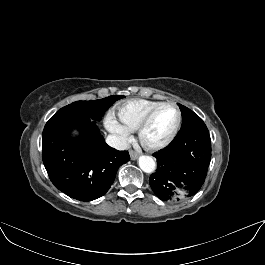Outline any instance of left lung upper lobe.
<instances>
[{"mask_svg": "<svg viewBox=\"0 0 265 265\" xmlns=\"http://www.w3.org/2000/svg\"><path fill=\"white\" fill-rule=\"evenodd\" d=\"M178 106L182 114V126L178 134L190 131L191 129L197 126L204 124L202 119L197 114H195L192 110H190L189 108L181 104H178Z\"/></svg>", "mask_w": 265, "mask_h": 265, "instance_id": "1", "label": "left lung upper lobe"}]
</instances>
